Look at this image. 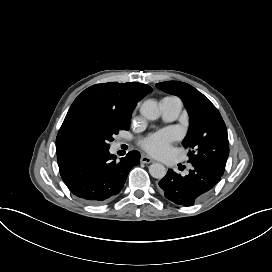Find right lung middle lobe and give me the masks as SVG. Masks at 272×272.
Instances as JSON below:
<instances>
[{
    "label": "right lung middle lobe",
    "instance_id": "1",
    "mask_svg": "<svg viewBox=\"0 0 272 272\" xmlns=\"http://www.w3.org/2000/svg\"><path fill=\"white\" fill-rule=\"evenodd\" d=\"M117 121L93 114L80 116L73 127L64 135L57 154L69 150L108 149L113 135L128 130Z\"/></svg>",
    "mask_w": 272,
    "mask_h": 272
}]
</instances>
